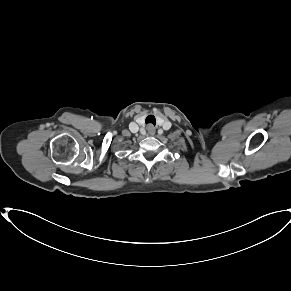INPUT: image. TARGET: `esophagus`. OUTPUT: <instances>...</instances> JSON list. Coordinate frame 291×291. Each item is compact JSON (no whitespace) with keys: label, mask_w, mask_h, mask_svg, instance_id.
Returning <instances> with one entry per match:
<instances>
[{"label":"esophagus","mask_w":291,"mask_h":291,"mask_svg":"<svg viewBox=\"0 0 291 291\" xmlns=\"http://www.w3.org/2000/svg\"><path fill=\"white\" fill-rule=\"evenodd\" d=\"M148 132L153 134L155 132L154 128L152 126H148Z\"/></svg>","instance_id":"1"}]
</instances>
